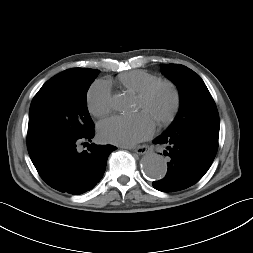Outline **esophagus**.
<instances>
[{
	"instance_id": "1",
	"label": "esophagus",
	"mask_w": 253,
	"mask_h": 253,
	"mask_svg": "<svg viewBox=\"0 0 253 253\" xmlns=\"http://www.w3.org/2000/svg\"><path fill=\"white\" fill-rule=\"evenodd\" d=\"M133 151L136 152L139 155H143V154H146L149 151V146L141 145V146L133 148Z\"/></svg>"
}]
</instances>
